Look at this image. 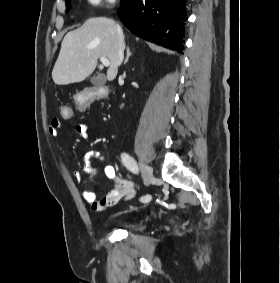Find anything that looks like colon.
<instances>
[{
  "label": "colon",
  "mask_w": 280,
  "mask_h": 283,
  "mask_svg": "<svg viewBox=\"0 0 280 283\" xmlns=\"http://www.w3.org/2000/svg\"><path fill=\"white\" fill-rule=\"evenodd\" d=\"M82 94H74V103H65L59 108L60 119H74V116H81L82 112L78 108H84L93 100L103 98L106 94V87H84Z\"/></svg>",
  "instance_id": "1"
}]
</instances>
